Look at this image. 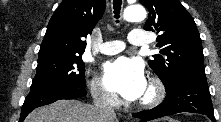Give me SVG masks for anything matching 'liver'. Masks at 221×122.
<instances>
[{"label":"liver","mask_w":221,"mask_h":122,"mask_svg":"<svg viewBox=\"0 0 221 122\" xmlns=\"http://www.w3.org/2000/svg\"><path fill=\"white\" fill-rule=\"evenodd\" d=\"M101 119L94 106L78 100H58L50 105L33 110L25 122H117Z\"/></svg>","instance_id":"obj_1"}]
</instances>
